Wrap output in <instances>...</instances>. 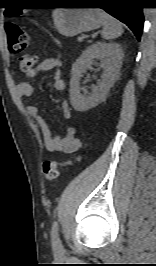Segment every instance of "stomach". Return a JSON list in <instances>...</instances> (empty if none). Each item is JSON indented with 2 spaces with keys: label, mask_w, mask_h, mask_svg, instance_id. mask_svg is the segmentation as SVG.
Wrapping results in <instances>:
<instances>
[{
  "label": "stomach",
  "mask_w": 156,
  "mask_h": 266,
  "mask_svg": "<svg viewBox=\"0 0 156 266\" xmlns=\"http://www.w3.org/2000/svg\"><path fill=\"white\" fill-rule=\"evenodd\" d=\"M71 7H82L78 3H67ZM99 9L58 8L53 11L55 29L64 36H75L99 28L102 24Z\"/></svg>",
  "instance_id": "0dacf381"
}]
</instances>
